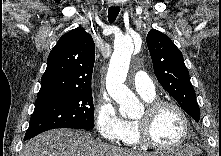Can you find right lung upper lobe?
Masks as SVG:
<instances>
[{
    "label": "right lung upper lobe",
    "instance_id": "cb5924a9",
    "mask_svg": "<svg viewBox=\"0 0 221 156\" xmlns=\"http://www.w3.org/2000/svg\"><path fill=\"white\" fill-rule=\"evenodd\" d=\"M95 44L84 28L64 34L51 50L37 98L91 90Z\"/></svg>",
    "mask_w": 221,
    "mask_h": 156
}]
</instances>
